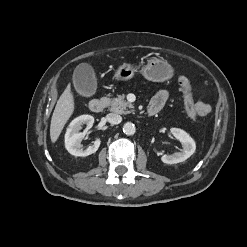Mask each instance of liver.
Segmentation results:
<instances>
[{"mask_svg":"<svg viewBox=\"0 0 247 247\" xmlns=\"http://www.w3.org/2000/svg\"><path fill=\"white\" fill-rule=\"evenodd\" d=\"M75 103L71 87L68 85L55 106L50 125V138L55 143L65 124L74 112Z\"/></svg>","mask_w":247,"mask_h":247,"instance_id":"6515ba94","label":"liver"}]
</instances>
